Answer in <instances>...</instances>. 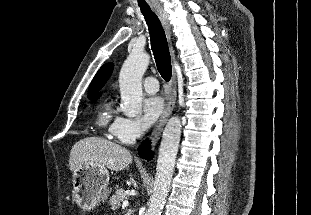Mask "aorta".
Listing matches in <instances>:
<instances>
[{"label":"aorta","mask_w":311,"mask_h":215,"mask_svg":"<svg viewBox=\"0 0 311 215\" xmlns=\"http://www.w3.org/2000/svg\"><path fill=\"white\" fill-rule=\"evenodd\" d=\"M150 57L144 52H132L119 74L121 111L129 118L142 112V77L149 65ZM181 121L173 116L167 122L160 144L153 194L146 215H161L174 172L176 155L181 137Z\"/></svg>","instance_id":"obj_1"}]
</instances>
